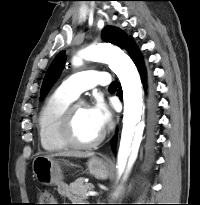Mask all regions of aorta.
Here are the masks:
<instances>
[{"label":"aorta","mask_w":200,"mask_h":205,"mask_svg":"<svg viewBox=\"0 0 200 205\" xmlns=\"http://www.w3.org/2000/svg\"><path fill=\"white\" fill-rule=\"evenodd\" d=\"M82 59L108 64L120 80L123 91L124 113L118 157L121 159L128 155L126 178L137 158L144 129V125L141 123L143 91L139 73L131 58L122 49L111 43L90 45L80 50L74 56L73 64L81 65Z\"/></svg>","instance_id":"aorta-1"}]
</instances>
